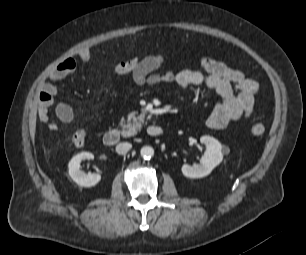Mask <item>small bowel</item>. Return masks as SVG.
Returning <instances> with one entry per match:
<instances>
[{
  "label": "small bowel",
  "mask_w": 306,
  "mask_h": 255,
  "mask_svg": "<svg viewBox=\"0 0 306 255\" xmlns=\"http://www.w3.org/2000/svg\"><path fill=\"white\" fill-rule=\"evenodd\" d=\"M77 57L87 62L91 58V53L88 49H82L77 53ZM164 62L165 59L161 54L143 57L130 73L133 81L140 86L175 83L182 88L205 86L213 90L219 100L206 119V126L210 129L220 130L231 122L252 115L259 84L242 71L231 68L221 61L203 56L200 58L201 70L167 69L160 73L158 70L164 65ZM75 68L76 60L73 57L66 58L50 72L47 80L40 87L38 118L52 131L57 130L58 125L51 120L48 111L54 104V97L58 93L57 83L70 75ZM55 114L63 123H70L74 118L72 108L64 103L55 106Z\"/></svg>",
  "instance_id": "small-bowel-1"
}]
</instances>
